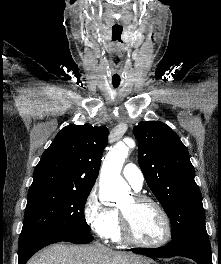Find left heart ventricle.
I'll list each match as a JSON object with an SVG mask.
<instances>
[{
    "label": "left heart ventricle",
    "mask_w": 221,
    "mask_h": 264,
    "mask_svg": "<svg viewBox=\"0 0 221 264\" xmlns=\"http://www.w3.org/2000/svg\"><path fill=\"white\" fill-rule=\"evenodd\" d=\"M120 210L125 213L132 224L135 236L146 243L160 241L165 235V223L156 207L149 203H136L127 199Z\"/></svg>",
    "instance_id": "left-heart-ventricle-1"
}]
</instances>
